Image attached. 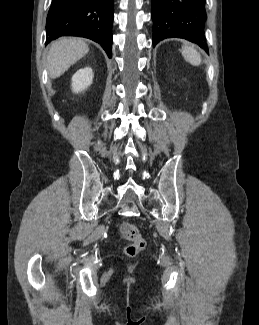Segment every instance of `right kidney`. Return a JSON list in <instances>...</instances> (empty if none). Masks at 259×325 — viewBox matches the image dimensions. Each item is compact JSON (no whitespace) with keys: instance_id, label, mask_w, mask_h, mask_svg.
Wrapping results in <instances>:
<instances>
[{"instance_id":"obj_1","label":"right kidney","mask_w":259,"mask_h":325,"mask_svg":"<svg viewBox=\"0 0 259 325\" xmlns=\"http://www.w3.org/2000/svg\"><path fill=\"white\" fill-rule=\"evenodd\" d=\"M93 71L90 67L79 69L72 76V91L79 93L87 89L93 82Z\"/></svg>"}]
</instances>
